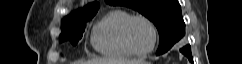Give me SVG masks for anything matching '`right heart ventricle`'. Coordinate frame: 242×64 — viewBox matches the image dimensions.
I'll return each mask as SVG.
<instances>
[{
	"mask_svg": "<svg viewBox=\"0 0 242 64\" xmlns=\"http://www.w3.org/2000/svg\"><path fill=\"white\" fill-rule=\"evenodd\" d=\"M131 16L124 10L107 13L93 28L91 43L100 54L112 58H128L133 54L128 51L122 40V28Z\"/></svg>",
	"mask_w": 242,
	"mask_h": 64,
	"instance_id": "1",
	"label": "right heart ventricle"
}]
</instances>
